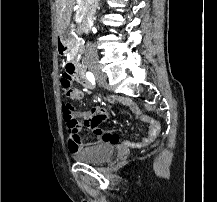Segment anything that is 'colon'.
Masks as SVG:
<instances>
[{
	"instance_id": "colon-1",
	"label": "colon",
	"mask_w": 217,
	"mask_h": 202,
	"mask_svg": "<svg viewBox=\"0 0 217 202\" xmlns=\"http://www.w3.org/2000/svg\"><path fill=\"white\" fill-rule=\"evenodd\" d=\"M59 96H62L61 104L63 112H61V117H64V120L70 131L78 130L79 124L73 116V107L71 103L67 101V98H69V96H72V91H59ZM158 141H161V138H158Z\"/></svg>"
}]
</instances>
